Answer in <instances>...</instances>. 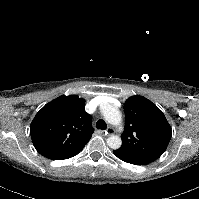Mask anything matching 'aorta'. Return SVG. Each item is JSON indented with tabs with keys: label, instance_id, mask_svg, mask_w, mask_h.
I'll return each instance as SVG.
<instances>
[{
	"label": "aorta",
	"instance_id": "aorta-1",
	"mask_svg": "<svg viewBox=\"0 0 199 199\" xmlns=\"http://www.w3.org/2000/svg\"><path fill=\"white\" fill-rule=\"evenodd\" d=\"M102 114L105 120L112 125L118 126L122 123V114L117 108L111 105L106 106L102 110ZM121 144L122 140L121 137L118 135H111L107 139V145L112 149H118L121 146Z\"/></svg>",
	"mask_w": 199,
	"mask_h": 199
}]
</instances>
